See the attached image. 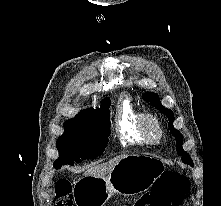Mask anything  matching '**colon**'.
Listing matches in <instances>:
<instances>
[{"label":"colon","mask_w":221,"mask_h":206,"mask_svg":"<svg viewBox=\"0 0 221 206\" xmlns=\"http://www.w3.org/2000/svg\"><path fill=\"white\" fill-rule=\"evenodd\" d=\"M190 187L189 180L167 171L158 179L152 190L138 199L134 206H179ZM54 206H74L72 185L68 180L57 181L54 190Z\"/></svg>","instance_id":"1"}]
</instances>
